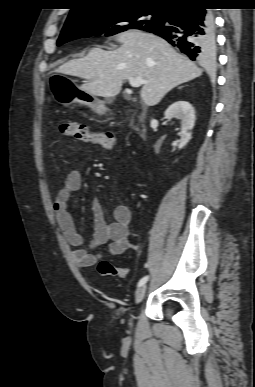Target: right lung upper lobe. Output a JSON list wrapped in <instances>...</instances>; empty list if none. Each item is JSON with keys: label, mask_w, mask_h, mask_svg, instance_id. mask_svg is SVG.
<instances>
[{"label": "right lung upper lobe", "mask_w": 255, "mask_h": 387, "mask_svg": "<svg viewBox=\"0 0 255 387\" xmlns=\"http://www.w3.org/2000/svg\"><path fill=\"white\" fill-rule=\"evenodd\" d=\"M196 0H76V7L71 10L65 23L74 22L95 11L121 6L155 7L165 10Z\"/></svg>", "instance_id": "1"}]
</instances>
